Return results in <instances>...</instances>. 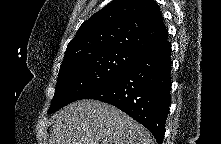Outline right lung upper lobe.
Wrapping results in <instances>:
<instances>
[{
	"label": "right lung upper lobe",
	"mask_w": 221,
	"mask_h": 144,
	"mask_svg": "<svg viewBox=\"0 0 221 144\" xmlns=\"http://www.w3.org/2000/svg\"><path fill=\"white\" fill-rule=\"evenodd\" d=\"M166 39L167 29L153 0H114L81 25L61 66L109 50L139 56Z\"/></svg>",
	"instance_id": "cb5924a9"
}]
</instances>
